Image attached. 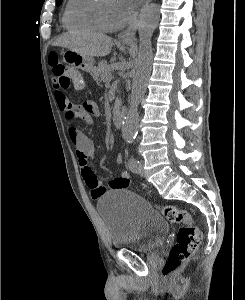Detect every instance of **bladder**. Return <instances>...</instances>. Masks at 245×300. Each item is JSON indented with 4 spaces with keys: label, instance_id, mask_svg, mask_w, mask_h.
Wrapping results in <instances>:
<instances>
[{
    "label": "bladder",
    "instance_id": "31cf9c89",
    "mask_svg": "<svg viewBox=\"0 0 245 300\" xmlns=\"http://www.w3.org/2000/svg\"><path fill=\"white\" fill-rule=\"evenodd\" d=\"M97 210L104 221L110 245L150 253L160 247L168 232L167 222L141 196L128 190L102 195Z\"/></svg>",
    "mask_w": 245,
    "mask_h": 300
}]
</instances>
